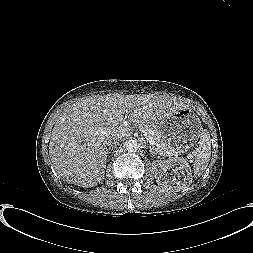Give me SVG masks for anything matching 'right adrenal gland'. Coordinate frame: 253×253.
Masks as SVG:
<instances>
[{"label":"right adrenal gland","mask_w":253,"mask_h":253,"mask_svg":"<svg viewBox=\"0 0 253 253\" xmlns=\"http://www.w3.org/2000/svg\"><path fill=\"white\" fill-rule=\"evenodd\" d=\"M117 145V144H116ZM116 147L115 145L114 146H110L109 147V154L111 153L110 150H113V148Z\"/></svg>","instance_id":"obj_1"}]
</instances>
